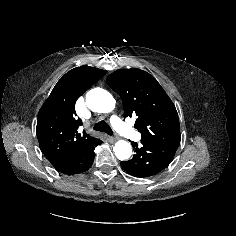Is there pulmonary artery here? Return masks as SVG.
<instances>
[{"label": "pulmonary artery", "mask_w": 236, "mask_h": 236, "mask_svg": "<svg viewBox=\"0 0 236 236\" xmlns=\"http://www.w3.org/2000/svg\"><path fill=\"white\" fill-rule=\"evenodd\" d=\"M111 122L114 126V128L124 137L128 139H134V140H139L140 139V134L134 130L133 128L129 127L125 123H123L118 117L113 116L111 118Z\"/></svg>", "instance_id": "pulmonary-artery-1"}]
</instances>
